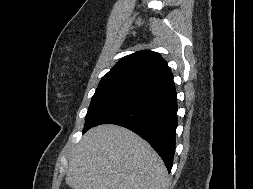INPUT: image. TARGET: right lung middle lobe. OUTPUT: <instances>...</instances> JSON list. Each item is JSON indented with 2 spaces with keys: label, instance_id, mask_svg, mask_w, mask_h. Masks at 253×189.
I'll return each instance as SVG.
<instances>
[{
  "label": "right lung middle lobe",
  "instance_id": "dd1d6c3e",
  "mask_svg": "<svg viewBox=\"0 0 253 189\" xmlns=\"http://www.w3.org/2000/svg\"><path fill=\"white\" fill-rule=\"evenodd\" d=\"M148 92L131 87H108L96 89L85 117L84 131L114 111L135 102Z\"/></svg>",
  "mask_w": 253,
  "mask_h": 189
}]
</instances>
